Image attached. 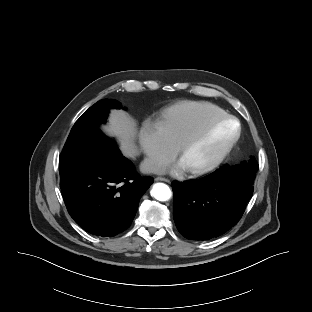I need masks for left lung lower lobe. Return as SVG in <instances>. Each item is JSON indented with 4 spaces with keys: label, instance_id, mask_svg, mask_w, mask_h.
<instances>
[{
    "label": "left lung lower lobe",
    "instance_id": "left-lung-lower-lobe-1",
    "mask_svg": "<svg viewBox=\"0 0 312 312\" xmlns=\"http://www.w3.org/2000/svg\"><path fill=\"white\" fill-rule=\"evenodd\" d=\"M172 188L176 227L191 240H209L224 234L237 224L253 195V186L226 166L198 180L175 181Z\"/></svg>",
    "mask_w": 312,
    "mask_h": 312
}]
</instances>
